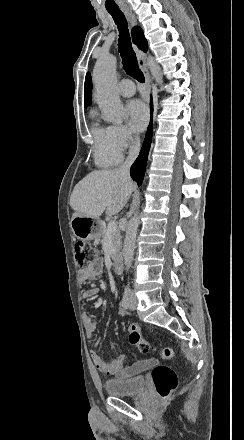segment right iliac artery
I'll return each mask as SVG.
<instances>
[{
	"label": "right iliac artery",
	"instance_id": "obj_1",
	"mask_svg": "<svg viewBox=\"0 0 244 440\" xmlns=\"http://www.w3.org/2000/svg\"><path fill=\"white\" fill-rule=\"evenodd\" d=\"M121 306L124 309H128V307H129V290L128 289H125V292H124V295H123V298L121 301Z\"/></svg>",
	"mask_w": 244,
	"mask_h": 440
}]
</instances>
